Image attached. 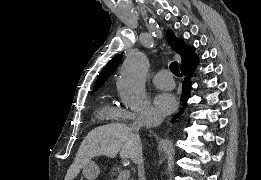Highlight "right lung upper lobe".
<instances>
[{
	"label": "right lung upper lobe",
	"instance_id": "obj_1",
	"mask_svg": "<svg viewBox=\"0 0 261 180\" xmlns=\"http://www.w3.org/2000/svg\"><path fill=\"white\" fill-rule=\"evenodd\" d=\"M167 39L172 49L174 51H177L182 57V68L196 63L198 57L194 55L193 47L186 46L181 39L176 38L172 30H168ZM121 57L122 55H117L108 62L106 67L98 76V79L93 88V92L98 90L103 85V83L110 77V75L115 71L117 64L121 60Z\"/></svg>",
	"mask_w": 261,
	"mask_h": 180
}]
</instances>
